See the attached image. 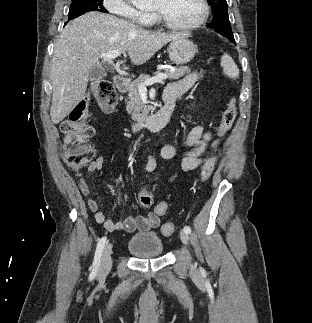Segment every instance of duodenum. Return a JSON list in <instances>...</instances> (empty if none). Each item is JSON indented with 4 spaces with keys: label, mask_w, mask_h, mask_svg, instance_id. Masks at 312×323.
I'll list each match as a JSON object with an SVG mask.
<instances>
[{
    "label": "duodenum",
    "mask_w": 312,
    "mask_h": 323,
    "mask_svg": "<svg viewBox=\"0 0 312 323\" xmlns=\"http://www.w3.org/2000/svg\"><path fill=\"white\" fill-rule=\"evenodd\" d=\"M116 88L123 92L128 86L127 76L120 74L115 78ZM164 106L155 114L145 116L131 122V129L134 132L157 131L168 126L174 112V98L164 97Z\"/></svg>",
    "instance_id": "duodenum-1"
}]
</instances>
